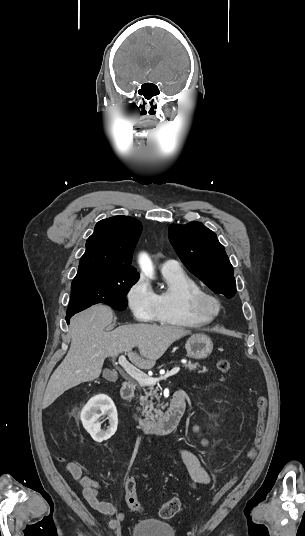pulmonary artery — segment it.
I'll return each instance as SVG.
<instances>
[{"instance_id":"obj_1","label":"pulmonary artery","mask_w":305,"mask_h":536,"mask_svg":"<svg viewBox=\"0 0 305 536\" xmlns=\"http://www.w3.org/2000/svg\"><path fill=\"white\" fill-rule=\"evenodd\" d=\"M178 268L180 267L178 263L174 260H166L161 265L162 270H170V269H178Z\"/></svg>"}]
</instances>
